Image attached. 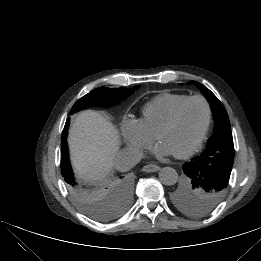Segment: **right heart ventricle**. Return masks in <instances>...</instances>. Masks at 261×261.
Here are the masks:
<instances>
[{"instance_id":"right-heart-ventricle-1","label":"right heart ventricle","mask_w":261,"mask_h":261,"mask_svg":"<svg viewBox=\"0 0 261 261\" xmlns=\"http://www.w3.org/2000/svg\"><path fill=\"white\" fill-rule=\"evenodd\" d=\"M189 96L179 93H162L146 103L138 122L143 130L155 137L160 127L169 118L173 110Z\"/></svg>"}]
</instances>
